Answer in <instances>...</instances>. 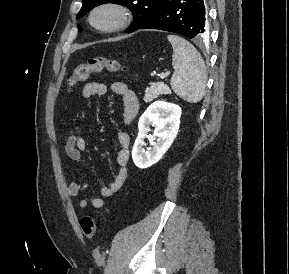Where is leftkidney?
I'll return each mask as SVG.
<instances>
[{"mask_svg":"<svg viewBox=\"0 0 289 274\" xmlns=\"http://www.w3.org/2000/svg\"><path fill=\"white\" fill-rule=\"evenodd\" d=\"M182 110L180 106L165 101L152 103L142 114L138 123V136L132 149L134 164L141 169L157 163L169 149L179 130ZM155 127L153 147L144 150V139Z\"/></svg>","mask_w":289,"mask_h":274,"instance_id":"obj_1","label":"left kidney"}]
</instances>
